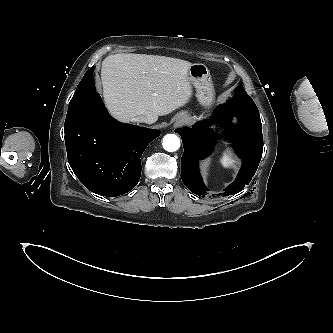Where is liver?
I'll return each instance as SVG.
<instances>
[{"mask_svg":"<svg viewBox=\"0 0 333 333\" xmlns=\"http://www.w3.org/2000/svg\"><path fill=\"white\" fill-rule=\"evenodd\" d=\"M188 61L157 55L115 54L101 68L103 97L116 119L129 122L139 115L149 124L184 106L192 96Z\"/></svg>","mask_w":333,"mask_h":333,"instance_id":"1","label":"liver"}]
</instances>
